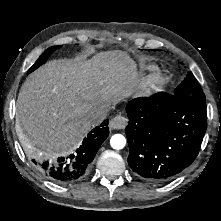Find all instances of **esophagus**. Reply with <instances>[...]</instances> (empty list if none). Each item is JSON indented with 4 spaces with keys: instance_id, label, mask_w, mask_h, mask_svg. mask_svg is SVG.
<instances>
[{
    "instance_id": "34e87169",
    "label": "esophagus",
    "mask_w": 221,
    "mask_h": 221,
    "mask_svg": "<svg viewBox=\"0 0 221 221\" xmlns=\"http://www.w3.org/2000/svg\"><path fill=\"white\" fill-rule=\"evenodd\" d=\"M128 119L121 114L116 115L110 120L109 127L113 130H120L126 127Z\"/></svg>"
}]
</instances>
